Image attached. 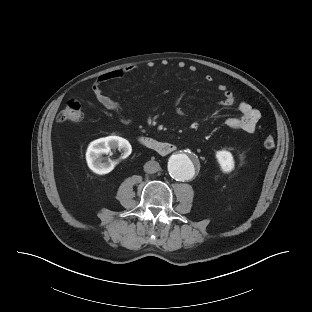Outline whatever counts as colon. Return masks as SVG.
<instances>
[{
    "instance_id": "colon-1",
    "label": "colon",
    "mask_w": 312,
    "mask_h": 312,
    "mask_svg": "<svg viewBox=\"0 0 312 312\" xmlns=\"http://www.w3.org/2000/svg\"><path fill=\"white\" fill-rule=\"evenodd\" d=\"M82 117L81 104L77 99L73 98L66 102L65 107L59 112L57 120L61 123H76L81 121ZM263 145L267 149H272L275 146V138L272 135H267L263 140Z\"/></svg>"
}]
</instances>
